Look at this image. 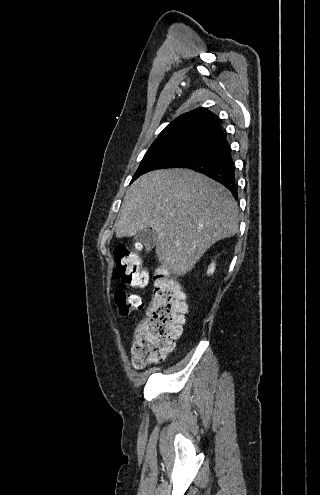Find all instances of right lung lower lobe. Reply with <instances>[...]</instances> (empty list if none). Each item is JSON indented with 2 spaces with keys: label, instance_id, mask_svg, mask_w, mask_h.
Segmentation results:
<instances>
[{
  "label": "right lung lower lobe",
  "instance_id": "right-lung-lower-lobe-1",
  "mask_svg": "<svg viewBox=\"0 0 320 495\" xmlns=\"http://www.w3.org/2000/svg\"><path fill=\"white\" fill-rule=\"evenodd\" d=\"M177 168H188L203 173L222 183L237 198L234 162L223 131L207 140L200 149Z\"/></svg>",
  "mask_w": 320,
  "mask_h": 495
}]
</instances>
